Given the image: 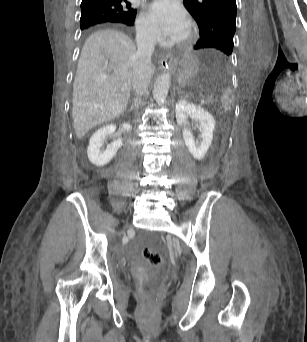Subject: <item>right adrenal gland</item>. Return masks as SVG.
Here are the masks:
<instances>
[{
	"mask_svg": "<svg viewBox=\"0 0 307 342\" xmlns=\"http://www.w3.org/2000/svg\"><path fill=\"white\" fill-rule=\"evenodd\" d=\"M132 110H134V106H132V108H130V112H132Z\"/></svg>",
	"mask_w": 307,
	"mask_h": 342,
	"instance_id": "1",
	"label": "right adrenal gland"
}]
</instances>
